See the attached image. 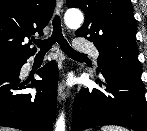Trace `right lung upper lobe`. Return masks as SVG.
<instances>
[{
    "label": "right lung upper lobe",
    "instance_id": "right-lung-upper-lobe-1",
    "mask_svg": "<svg viewBox=\"0 0 147 131\" xmlns=\"http://www.w3.org/2000/svg\"><path fill=\"white\" fill-rule=\"evenodd\" d=\"M55 0H0V59L23 60L35 48L23 42L43 29L52 17Z\"/></svg>",
    "mask_w": 147,
    "mask_h": 131
}]
</instances>
